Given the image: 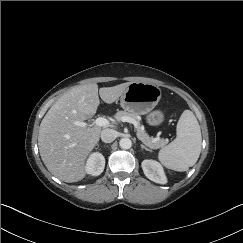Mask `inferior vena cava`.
<instances>
[{
  "instance_id": "inferior-vena-cava-1",
  "label": "inferior vena cava",
  "mask_w": 243,
  "mask_h": 243,
  "mask_svg": "<svg viewBox=\"0 0 243 243\" xmlns=\"http://www.w3.org/2000/svg\"><path fill=\"white\" fill-rule=\"evenodd\" d=\"M117 137V133L113 129H104L101 131V140L105 143L113 142Z\"/></svg>"
}]
</instances>
